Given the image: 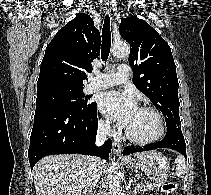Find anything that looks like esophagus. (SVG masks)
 I'll return each instance as SVG.
<instances>
[{
	"label": "esophagus",
	"mask_w": 211,
	"mask_h": 195,
	"mask_svg": "<svg viewBox=\"0 0 211 195\" xmlns=\"http://www.w3.org/2000/svg\"><path fill=\"white\" fill-rule=\"evenodd\" d=\"M104 9H105V12H106V13H109V12H110V10H111V5H110L109 2H106V3H105ZM112 150H113V153H114L115 155L120 156L121 150H122V145H121L119 142L114 141L113 144H112Z\"/></svg>",
	"instance_id": "esophagus-1"
}]
</instances>
